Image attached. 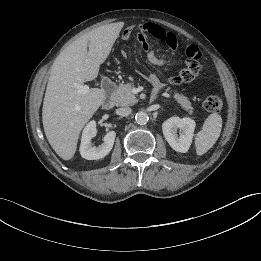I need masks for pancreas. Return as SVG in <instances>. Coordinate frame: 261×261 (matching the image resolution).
<instances>
[{
  "instance_id": "pancreas-1",
  "label": "pancreas",
  "mask_w": 261,
  "mask_h": 261,
  "mask_svg": "<svg viewBox=\"0 0 261 261\" xmlns=\"http://www.w3.org/2000/svg\"><path fill=\"white\" fill-rule=\"evenodd\" d=\"M133 83L120 84L114 94L113 98L115 100L116 106H129L137 102L136 96L132 93ZM174 98L177 103L180 104L189 114L193 113V107L189 99L177 92L174 93Z\"/></svg>"
}]
</instances>
